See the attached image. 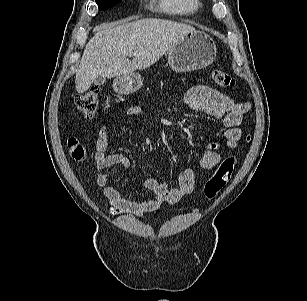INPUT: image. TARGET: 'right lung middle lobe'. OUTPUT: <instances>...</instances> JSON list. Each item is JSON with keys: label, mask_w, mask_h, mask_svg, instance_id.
<instances>
[{"label": "right lung middle lobe", "mask_w": 307, "mask_h": 301, "mask_svg": "<svg viewBox=\"0 0 307 301\" xmlns=\"http://www.w3.org/2000/svg\"><path fill=\"white\" fill-rule=\"evenodd\" d=\"M121 1L122 0H96V3L99 6V10L105 11Z\"/></svg>", "instance_id": "1"}]
</instances>
